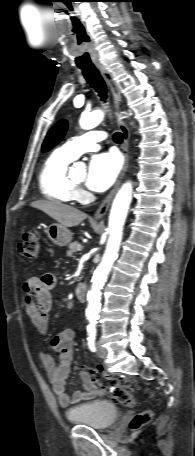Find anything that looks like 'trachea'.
Returning <instances> with one entry per match:
<instances>
[{"mask_svg": "<svg viewBox=\"0 0 195 456\" xmlns=\"http://www.w3.org/2000/svg\"><path fill=\"white\" fill-rule=\"evenodd\" d=\"M80 69L82 70L87 83L96 90L101 100L105 101L107 98V89L98 69L95 66L80 67ZM113 140L116 143H121L123 141V134L116 132L113 135Z\"/></svg>", "mask_w": 195, "mask_h": 456, "instance_id": "3493384b", "label": "trachea"}]
</instances>
